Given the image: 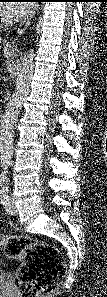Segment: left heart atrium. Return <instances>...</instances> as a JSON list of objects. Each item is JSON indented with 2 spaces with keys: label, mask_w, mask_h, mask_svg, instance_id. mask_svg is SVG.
I'll return each instance as SVG.
<instances>
[{
  "label": "left heart atrium",
  "mask_w": 107,
  "mask_h": 297,
  "mask_svg": "<svg viewBox=\"0 0 107 297\" xmlns=\"http://www.w3.org/2000/svg\"><path fill=\"white\" fill-rule=\"evenodd\" d=\"M28 11L29 4L27 3H10L7 4L3 9L6 17L14 20L23 17Z\"/></svg>",
  "instance_id": "1"
}]
</instances>
